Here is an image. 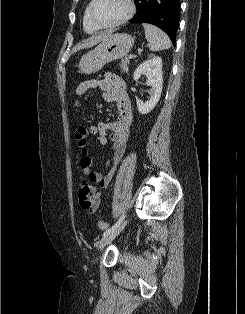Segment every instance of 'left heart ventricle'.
<instances>
[{"mask_svg": "<svg viewBox=\"0 0 245 314\" xmlns=\"http://www.w3.org/2000/svg\"><path fill=\"white\" fill-rule=\"evenodd\" d=\"M127 11L125 0H97L94 15L100 23H112L122 17Z\"/></svg>", "mask_w": 245, "mask_h": 314, "instance_id": "1", "label": "left heart ventricle"}]
</instances>
